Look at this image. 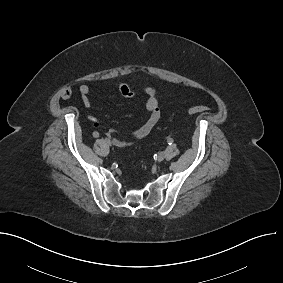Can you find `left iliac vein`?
<instances>
[{"label":"left iliac vein","mask_w":283,"mask_h":283,"mask_svg":"<svg viewBox=\"0 0 283 283\" xmlns=\"http://www.w3.org/2000/svg\"><path fill=\"white\" fill-rule=\"evenodd\" d=\"M165 159V153L164 152H161L158 154V157H157V161L158 162H161Z\"/></svg>","instance_id":"4c4485c4"}]
</instances>
